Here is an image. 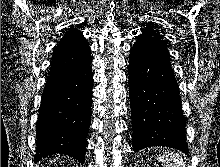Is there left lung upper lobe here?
<instances>
[{
	"label": "left lung upper lobe",
	"mask_w": 220,
	"mask_h": 167,
	"mask_svg": "<svg viewBox=\"0 0 220 167\" xmlns=\"http://www.w3.org/2000/svg\"><path fill=\"white\" fill-rule=\"evenodd\" d=\"M132 50L169 55L164 38L153 26L148 27L138 36Z\"/></svg>",
	"instance_id": "obj_1"
}]
</instances>
